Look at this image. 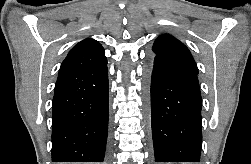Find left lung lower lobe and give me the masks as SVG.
Here are the masks:
<instances>
[{
    "label": "left lung lower lobe",
    "instance_id": "obj_1",
    "mask_svg": "<svg viewBox=\"0 0 251 164\" xmlns=\"http://www.w3.org/2000/svg\"><path fill=\"white\" fill-rule=\"evenodd\" d=\"M197 74L165 59L150 57L147 62L146 98L155 162L200 161L202 100Z\"/></svg>",
    "mask_w": 251,
    "mask_h": 164
}]
</instances>
